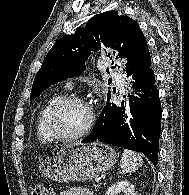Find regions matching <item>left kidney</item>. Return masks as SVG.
Instances as JSON below:
<instances>
[{"instance_id": "obj_1", "label": "left kidney", "mask_w": 189, "mask_h": 195, "mask_svg": "<svg viewBox=\"0 0 189 195\" xmlns=\"http://www.w3.org/2000/svg\"><path fill=\"white\" fill-rule=\"evenodd\" d=\"M120 193L124 195H135L134 186L130 182L123 180L113 184L106 192V195H118Z\"/></svg>"}]
</instances>
